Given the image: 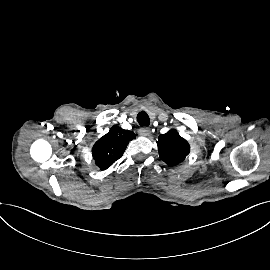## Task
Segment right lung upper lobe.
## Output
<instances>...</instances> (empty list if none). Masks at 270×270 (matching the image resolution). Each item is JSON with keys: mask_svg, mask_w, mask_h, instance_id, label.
I'll list each match as a JSON object with an SVG mask.
<instances>
[{"mask_svg": "<svg viewBox=\"0 0 270 270\" xmlns=\"http://www.w3.org/2000/svg\"><path fill=\"white\" fill-rule=\"evenodd\" d=\"M135 137L133 131L113 126L93 146L92 154L96 165L101 170L108 169L123 155L129 141L135 139Z\"/></svg>", "mask_w": 270, "mask_h": 270, "instance_id": "obj_1", "label": "right lung upper lobe"}]
</instances>
